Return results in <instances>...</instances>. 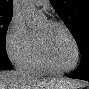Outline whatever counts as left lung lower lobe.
Listing matches in <instances>:
<instances>
[{
  "instance_id": "1",
  "label": "left lung lower lobe",
  "mask_w": 89,
  "mask_h": 89,
  "mask_svg": "<svg viewBox=\"0 0 89 89\" xmlns=\"http://www.w3.org/2000/svg\"><path fill=\"white\" fill-rule=\"evenodd\" d=\"M89 54L81 56L79 67L68 77L89 81Z\"/></svg>"
}]
</instances>
